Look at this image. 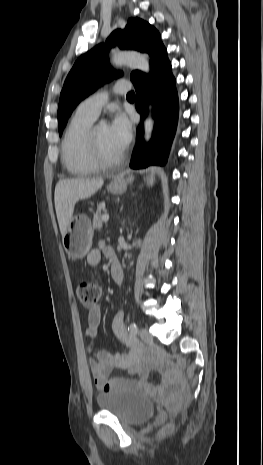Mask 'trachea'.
<instances>
[{
    "label": "trachea",
    "mask_w": 263,
    "mask_h": 465,
    "mask_svg": "<svg viewBox=\"0 0 263 465\" xmlns=\"http://www.w3.org/2000/svg\"><path fill=\"white\" fill-rule=\"evenodd\" d=\"M127 97L134 98V92H133V91L129 92V93L127 94Z\"/></svg>",
    "instance_id": "trachea-1"
}]
</instances>
